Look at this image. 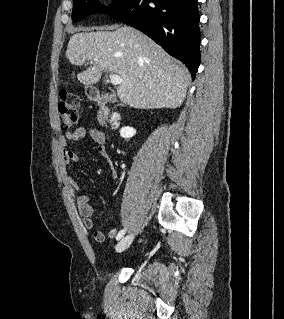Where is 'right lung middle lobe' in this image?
I'll return each mask as SVG.
<instances>
[{
  "label": "right lung middle lobe",
  "mask_w": 284,
  "mask_h": 319,
  "mask_svg": "<svg viewBox=\"0 0 284 319\" xmlns=\"http://www.w3.org/2000/svg\"><path fill=\"white\" fill-rule=\"evenodd\" d=\"M132 0H114L108 7L102 6L97 0H73L72 19L77 22L90 14L101 12L109 13L111 10L130 3Z\"/></svg>",
  "instance_id": "obj_1"
}]
</instances>
